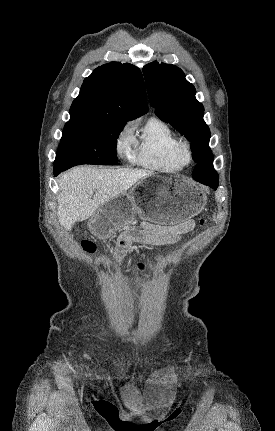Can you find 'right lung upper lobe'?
Returning <instances> with one entry per match:
<instances>
[{
    "label": "right lung upper lobe",
    "mask_w": 275,
    "mask_h": 431,
    "mask_svg": "<svg viewBox=\"0 0 275 431\" xmlns=\"http://www.w3.org/2000/svg\"><path fill=\"white\" fill-rule=\"evenodd\" d=\"M147 111L141 71L129 63L110 62L85 78L78 97L71 105L70 116H110L129 121Z\"/></svg>",
    "instance_id": "right-lung-upper-lobe-1"
}]
</instances>
